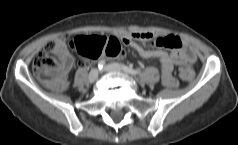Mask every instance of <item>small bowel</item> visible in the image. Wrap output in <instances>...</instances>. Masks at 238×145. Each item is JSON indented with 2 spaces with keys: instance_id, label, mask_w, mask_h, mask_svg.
Listing matches in <instances>:
<instances>
[{
  "instance_id": "obj_1",
  "label": "small bowel",
  "mask_w": 238,
  "mask_h": 145,
  "mask_svg": "<svg viewBox=\"0 0 238 145\" xmlns=\"http://www.w3.org/2000/svg\"><path fill=\"white\" fill-rule=\"evenodd\" d=\"M114 35L123 45L133 48L143 58L157 59L162 68V83L167 88H174L177 85V80L173 76L174 67L178 65L183 68H190L189 65L196 59L189 43L174 35L158 36L151 32H131L126 29H117ZM57 43L59 45L56 52L60 60L59 72L64 76L73 66L74 58L61 41H57ZM141 43H152L158 47L171 49L173 52L170 54L162 49H148L143 47Z\"/></svg>"
}]
</instances>
